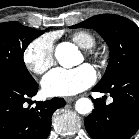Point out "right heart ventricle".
Listing matches in <instances>:
<instances>
[{
	"label": "right heart ventricle",
	"instance_id": "right-heart-ventricle-1",
	"mask_svg": "<svg viewBox=\"0 0 139 139\" xmlns=\"http://www.w3.org/2000/svg\"><path fill=\"white\" fill-rule=\"evenodd\" d=\"M71 38L79 47L83 49H90L96 44L95 37L86 31H77L72 34Z\"/></svg>",
	"mask_w": 139,
	"mask_h": 139
}]
</instances>
